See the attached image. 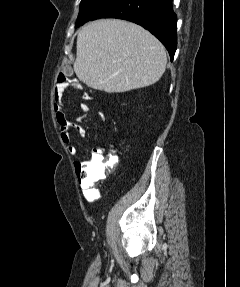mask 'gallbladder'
Here are the masks:
<instances>
[{
  "label": "gallbladder",
  "instance_id": "gallbladder-1",
  "mask_svg": "<svg viewBox=\"0 0 240 287\" xmlns=\"http://www.w3.org/2000/svg\"><path fill=\"white\" fill-rule=\"evenodd\" d=\"M67 73H68V74H71V71H70V69H69V68L67 69Z\"/></svg>",
  "mask_w": 240,
  "mask_h": 287
}]
</instances>
